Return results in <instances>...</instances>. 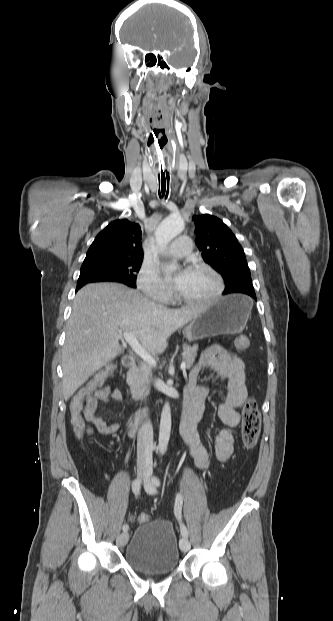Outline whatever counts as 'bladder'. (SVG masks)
Here are the masks:
<instances>
[{
    "mask_svg": "<svg viewBox=\"0 0 333 621\" xmlns=\"http://www.w3.org/2000/svg\"><path fill=\"white\" fill-rule=\"evenodd\" d=\"M178 539L168 520L150 519L138 526L125 548L124 558L134 570L164 575L179 564Z\"/></svg>",
    "mask_w": 333,
    "mask_h": 621,
    "instance_id": "31cf9c89",
    "label": "bladder"
}]
</instances>
